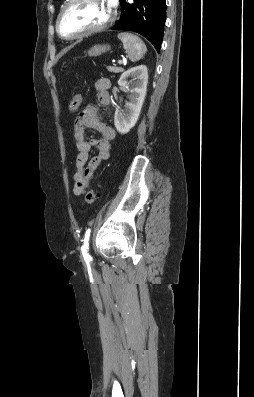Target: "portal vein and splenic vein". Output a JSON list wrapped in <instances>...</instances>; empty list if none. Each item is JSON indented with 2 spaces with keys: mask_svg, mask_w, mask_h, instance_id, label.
Wrapping results in <instances>:
<instances>
[{
  "mask_svg": "<svg viewBox=\"0 0 254 397\" xmlns=\"http://www.w3.org/2000/svg\"><path fill=\"white\" fill-rule=\"evenodd\" d=\"M123 62L121 60L118 61V64H122Z\"/></svg>",
  "mask_w": 254,
  "mask_h": 397,
  "instance_id": "obj_1",
  "label": "portal vein and splenic vein"
}]
</instances>
